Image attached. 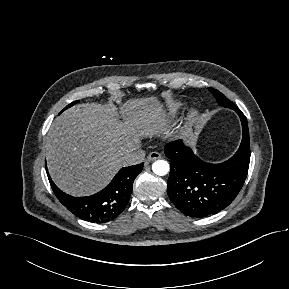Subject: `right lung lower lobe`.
Returning a JSON list of instances; mask_svg holds the SVG:
<instances>
[{
  "instance_id": "98d812e1",
  "label": "right lung lower lobe",
  "mask_w": 289,
  "mask_h": 289,
  "mask_svg": "<svg viewBox=\"0 0 289 289\" xmlns=\"http://www.w3.org/2000/svg\"><path fill=\"white\" fill-rule=\"evenodd\" d=\"M142 168L143 163L122 168L107 187L87 197H73L64 193L47 174L53 192L68 210L86 221L104 223L114 219L126 207L133 181Z\"/></svg>"
}]
</instances>
